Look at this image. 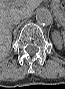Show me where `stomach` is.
Segmentation results:
<instances>
[{
    "label": "stomach",
    "instance_id": "obj_1",
    "mask_svg": "<svg viewBox=\"0 0 65 89\" xmlns=\"http://www.w3.org/2000/svg\"><path fill=\"white\" fill-rule=\"evenodd\" d=\"M51 8L54 11L58 21L61 24L65 23V3L64 2H52Z\"/></svg>",
    "mask_w": 65,
    "mask_h": 89
}]
</instances>
